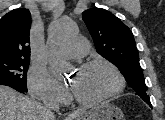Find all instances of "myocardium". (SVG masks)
I'll list each match as a JSON object with an SVG mask.
<instances>
[{"label": "myocardium", "instance_id": "obj_1", "mask_svg": "<svg viewBox=\"0 0 165 120\" xmlns=\"http://www.w3.org/2000/svg\"><path fill=\"white\" fill-rule=\"evenodd\" d=\"M96 66H104V67H107L108 69H110L116 78V85L106 95L95 98V99L81 98L72 89L71 90L72 97L79 104H82V105L100 104V103L106 102V101L114 98L115 96L120 94L122 92V90L124 89L125 80H124V77H123L121 71L119 70V68L114 63L110 62L109 60L101 59V58L89 60V61L84 62L81 65L80 69H89V68L96 67Z\"/></svg>", "mask_w": 165, "mask_h": 120}]
</instances>
